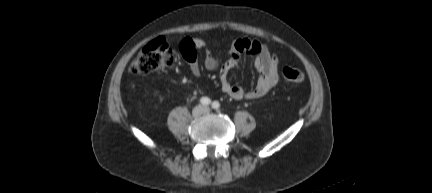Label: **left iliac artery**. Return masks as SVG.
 I'll return each mask as SVG.
<instances>
[{
  "instance_id": "1",
  "label": "left iliac artery",
  "mask_w": 432,
  "mask_h": 193,
  "mask_svg": "<svg viewBox=\"0 0 432 193\" xmlns=\"http://www.w3.org/2000/svg\"><path fill=\"white\" fill-rule=\"evenodd\" d=\"M219 107H220V103H219L218 101H214V102L212 103V108H213V109H219Z\"/></svg>"
}]
</instances>
